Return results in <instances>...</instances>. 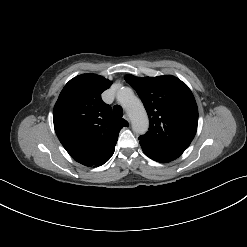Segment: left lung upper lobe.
<instances>
[{
	"instance_id": "obj_1",
	"label": "left lung upper lobe",
	"mask_w": 247,
	"mask_h": 247,
	"mask_svg": "<svg viewBox=\"0 0 247 247\" xmlns=\"http://www.w3.org/2000/svg\"><path fill=\"white\" fill-rule=\"evenodd\" d=\"M147 111L149 131L139 138L157 147L184 152L193 140L198 108L191 90L174 76L126 75Z\"/></svg>"
}]
</instances>
